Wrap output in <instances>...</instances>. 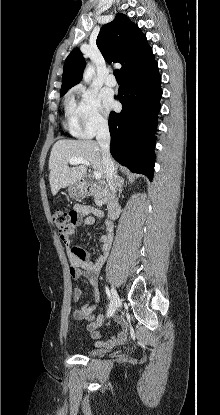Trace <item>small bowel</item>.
Returning <instances> with one entry per match:
<instances>
[{"label":"small bowel","mask_w":220,"mask_h":415,"mask_svg":"<svg viewBox=\"0 0 220 415\" xmlns=\"http://www.w3.org/2000/svg\"><path fill=\"white\" fill-rule=\"evenodd\" d=\"M75 215V219L70 223L69 228L59 236L67 248L68 259L70 262V275L74 280L84 278L92 286L93 301L89 304L81 305L74 309L73 318L78 321L88 322L87 329L94 339H100L102 333L98 330L99 323L95 321L99 317L95 314V309L100 301V292L98 288V274L106 261L113 242V223L106 221V232L100 237V253L93 259V254L80 247L72 245V237L76 228L83 225H93L96 218H103L105 213L103 210L86 204H77L71 211ZM74 301H78L82 297V290L75 288L72 292ZM115 323L119 325L120 330L104 341L95 343L98 347L112 348L122 345L127 340L128 327L122 316H116Z\"/></svg>","instance_id":"small-bowel-1"}]
</instances>
